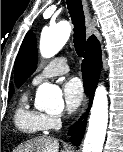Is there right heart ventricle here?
<instances>
[{"label": "right heart ventricle", "instance_id": "e07e8e85", "mask_svg": "<svg viewBox=\"0 0 123 152\" xmlns=\"http://www.w3.org/2000/svg\"><path fill=\"white\" fill-rule=\"evenodd\" d=\"M45 115L40 111L31 109L28 105V95H22L14 113V123L21 131L41 135L47 129L45 127Z\"/></svg>", "mask_w": 123, "mask_h": 152}]
</instances>
